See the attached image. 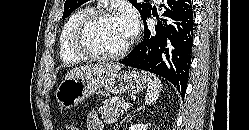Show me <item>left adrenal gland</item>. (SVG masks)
I'll use <instances>...</instances> for the list:
<instances>
[{"mask_svg": "<svg viewBox=\"0 0 249 130\" xmlns=\"http://www.w3.org/2000/svg\"><path fill=\"white\" fill-rule=\"evenodd\" d=\"M131 114L129 113V114H127V116H125V118L124 119H122V121H121V124L130 116Z\"/></svg>", "mask_w": 249, "mask_h": 130, "instance_id": "1", "label": "left adrenal gland"}]
</instances>
